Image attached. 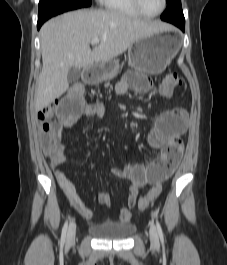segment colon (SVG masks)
I'll return each mask as SVG.
<instances>
[{"instance_id":"obj_1","label":"colon","mask_w":227,"mask_h":265,"mask_svg":"<svg viewBox=\"0 0 227 265\" xmlns=\"http://www.w3.org/2000/svg\"><path fill=\"white\" fill-rule=\"evenodd\" d=\"M182 85L181 77L175 72H169L166 74L162 84H161V94L165 98H169L172 96L174 89L180 87ZM68 91H84V88L80 84L73 85ZM66 96V94H65ZM56 105L51 104L46 106L38 113V121L41 129L47 133V136L43 140V146H48L51 143V139L49 136V131L51 128V122L54 119L56 113ZM181 157V152L179 150L168 151L165 155H163L159 164L161 167L165 168L168 171H173L175 167L178 165V162ZM162 187L160 184H156L153 186L148 194L142 197L139 200L138 206L140 209H146L159 197L161 194Z\"/></svg>"}]
</instances>
